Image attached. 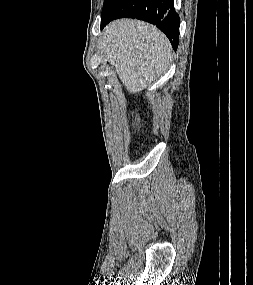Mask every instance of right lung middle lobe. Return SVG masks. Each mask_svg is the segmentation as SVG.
<instances>
[{
	"label": "right lung middle lobe",
	"instance_id": "right-lung-middle-lobe-1",
	"mask_svg": "<svg viewBox=\"0 0 253 285\" xmlns=\"http://www.w3.org/2000/svg\"><path fill=\"white\" fill-rule=\"evenodd\" d=\"M113 1H114V0H105V1H104L102 14L108 9V7L111 5V3H112Z\"/></svg>",
	"mask_w": 253,
	"mask_h": 285
}]
</instances>
